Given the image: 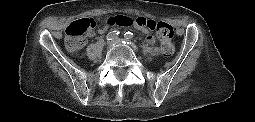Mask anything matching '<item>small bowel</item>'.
<instances>
[{
  "label": "small bowel",
  "mask_w": 255,
  "mask_h": 122,
  "mask_svg": "<svg viewBox=\"0 0 255 122\" xmlns=\"http://www.w3.org/2000/svg\"><path fill=\"white\" fill-rule=\"evenodd\" d=\"M114 25V23L111 21V18L107 19L98 29V32L100 34H104L105 32H107L112 26ZM146 42L148 44H154L156 42V38L152 35H148L146 37Z\"/></svg>",
  "instance_id": "1"
}]
</instances>
